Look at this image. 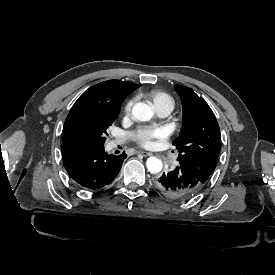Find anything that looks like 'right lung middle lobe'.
I'll list each match as a JSON object with an SVG mask.
<instances>
[{"label":"right lung middle lobe","mask_w":275,"mask_h":275,"mask_svg":"<svg viewBox=\"0 0 275 275\" xmlns=\"http://www.w3.org/2000/svg\"><path fill=\"white\" fill-rule=\"evenodd\" d=\"M119 112L97 108L75 115L64 124L63 143L87 142L104 146L107 129Z\"/></svg>","instance_id":"1"}]
</instances>
